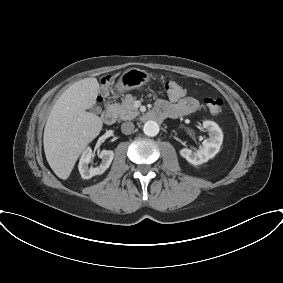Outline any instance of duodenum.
Here are the masks:
<instances>
[{"label": "duodenum", "instance_id": "410a0bca", "mask_svg": "<svg viewBox=\"0 0 283 283\" xmlns=\"http://www.w3.org/2000/svg\"><path fill=\"white\" fill-rule=\"evenodd\" d=\"M113 100H110L109 103H112ZM171 113L167 112V111H155V109L153 111L147 112L146 114H144L143 119L148 121H155V122H161L162 120H164L165 118H173L170 117ZM102 121L106 124H111L114 122L115 118H116V112L112 107H107L104 112L102 113Z\"/></svg>", "mask_w": 283, "mask_h": 283}]
</instances>
